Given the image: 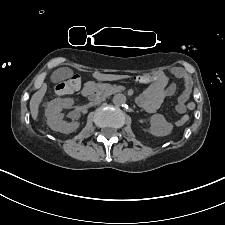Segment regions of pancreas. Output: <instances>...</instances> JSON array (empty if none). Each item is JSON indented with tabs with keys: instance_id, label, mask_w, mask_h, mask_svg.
I'll use <instances>...</instances> for the list:
<instances>
[{
	"instance_id": "pancreas-1",
	"label": "pancreas",
	"mask_w": 225,
	"mask_h": 225,
	"mask_svg": "<svg viewBox=\"0 0 225 225\" xmlns=\"http://www.w3.org/2000/svg\"><path fill=\"white\" fill-rule=\"evenodd\" d=\"M98 89L103 91L105 95L112 94L117 91H121L124 89V87L116 86V85H110V84H98Z\"/></svg>"
}]
</instances>
